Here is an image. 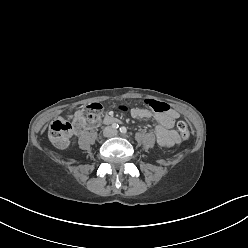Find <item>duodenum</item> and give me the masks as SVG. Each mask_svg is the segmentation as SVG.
<instances>
[{"mask_svg": "<svg viewBox=\"0 0 248 248\" xmlns=\"http://www.w3.org/2000/svg\"><path fill=\"white\" fill-rule=\"evenodd\" d=\"M103 122L106 124H116L119 123L120 120L114 116L106 115L103 119Z\"/></svg>", "mask_w": 248, "mask_h": 248, "instance_id": "410a0bca", "label": "duodenum"}]
</instances>
